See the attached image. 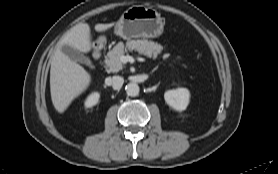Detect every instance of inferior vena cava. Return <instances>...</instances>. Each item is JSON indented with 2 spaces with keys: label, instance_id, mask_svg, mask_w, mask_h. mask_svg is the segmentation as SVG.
I'll use <instances>...</instances> for the list:
<instances>
[{
  "label": "inferior vena cava",
  "instance_id": "inferior-vena-cava-1",
  "mask_svg": "<svg viewBox=\"0 0 278 174\" xmlns=\"http://www.w3.org/2000/svg\"><path fill=\"white\" fill-rule=\"evenodd\" d=\"M110 83L115 90H118L122 87L124 79L121 76H113L110 80Z\"/></svg>",
  "mask_w": 278,
  "mask_h": 174
}]
</instances>
